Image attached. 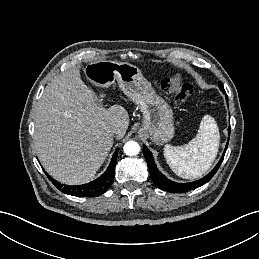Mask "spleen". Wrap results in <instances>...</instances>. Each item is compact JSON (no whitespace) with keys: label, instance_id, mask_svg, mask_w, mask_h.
<instances>
[{"label":"spleen","instance_id":"spleen-1","mask_svg":"<svg viewBox=\"0 0 259 259\" xmlns=\"http://www.w3.org/2000/svg\"><path fill=\"white\" fill-rule=\"evenodd\" d=\"M220 143L219 128L210 115H205L197 135L183 146L164 147V157L172 171L186 179L202 176L215 160Z\"/></svg>","mask_w":259,"mask_h":259}]
</instances>
